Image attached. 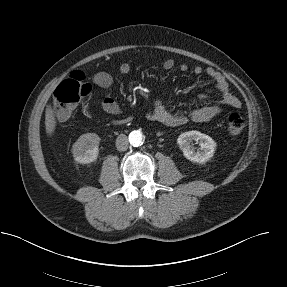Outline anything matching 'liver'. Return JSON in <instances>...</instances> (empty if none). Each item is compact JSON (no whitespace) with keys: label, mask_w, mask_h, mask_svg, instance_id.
<instances>
[{"label":"liver","mask_w":287,"mask_h":287,"mask_svg":"<svg viewBox=\"0 0 287 287\" xmlns=\"http://www.w3.org/2000/svg\"><path fill=\"white\" fill-rule=\"evenodd\" d=\"M45 126H46V133L48 135H51L54 132L55 127H56L55 114L51 106H47L46 108Z\"/></svg>","instance_id":"liver-1"}]
</instances>
